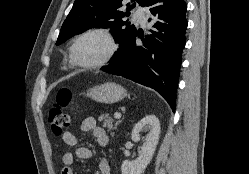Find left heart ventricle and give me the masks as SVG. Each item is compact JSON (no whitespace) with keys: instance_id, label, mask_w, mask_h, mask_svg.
I'll use <instances>...</instances> for the list:
<instances>
[{"instance_id":"b2bd125f","label":"left heart ventricle","mask_w":249,"mask_h":174,"mask_svg":"<svg viewBox=\"0 0 249 174\" xmlns=\"http://www.w3.org/2000/svg\"><path fill=\"white\" fill-rule=\"evenodd\" d=\"M108 48V43L103 36L92 34L79 42L77 55L84 63H94L106 55Z\"/></svg>"}]
</instances>
